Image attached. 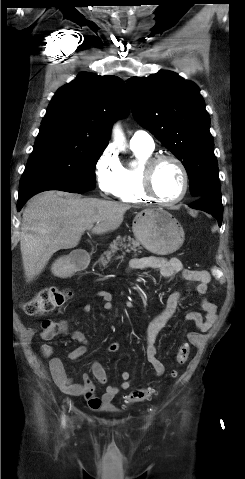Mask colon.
I'll list each match as a JSON object with an SVG mask.
<instances>
[{"label": "colon", "instance_id": "obj_1", "mask_svg": "<svg viewBox=\"0 0 245 479\" xmlns=\"http://www.w3.org/2000/svg\"><path fill=\"white\" fill-rule=\"evenodd\" d=\"M212 273L215 277H221V271L214 267ZM72 298V291L62 287H45L40 289L31 299L25 301L22 309L29 316H39L52 312L63 307ZM41 335L43 338L50 339L59 333V325L53 320H44L41 325ZM190 354V346L183 341L175 355L177 365L182 366L188 360ZM176 376V372L172 373ZM155 395V390L151 387L135 389L125 397L126 404H132L150 399Z\"/></svg>", "mask_w": 245, "mask_h": 479}]
</instances>
